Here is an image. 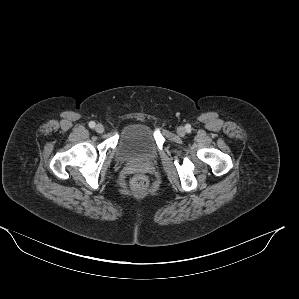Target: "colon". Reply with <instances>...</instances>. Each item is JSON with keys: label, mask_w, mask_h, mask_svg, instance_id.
Instances as JSON below:
<instances>
[{"label": "colon", "mask_w": 299, "mask_h": 299, "mask_svg": "<svg viewBox=\"0 0 299 299\" xmlns=\"http://www.w3.org/2000/svg\"><path fill=\"white\" fill-rule=\"evenodd\" d=\"M148 179L145 175L139 174L131 180V186L137 191H143L148 187Z\"/></svg>", "instance_id": "1"}]
</instances>
